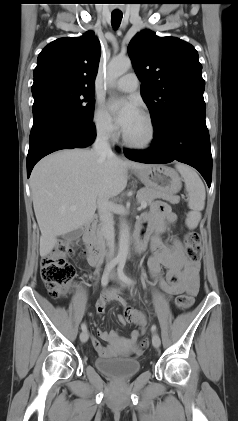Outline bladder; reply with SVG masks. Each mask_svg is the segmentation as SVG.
Listing matches in <instances>:
<instances>
[{"label": "bladder", "mask_w": 238, "mask_h": 421, "mask_svg": "<svg viewBox=\"0 0 238 421\" xmlns=\"http://www.w3.org/2000/svg\"><path fill=\"white\" fill-rule=\"evenodd\" d=\"M94 364L100 372L116 379L131 378L141 369L138 360L123 357H98Z\"/></svg>", "instance_id": "bladder-1"}]
</instances>
